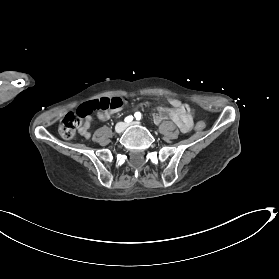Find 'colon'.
<instances>
[{
  "instance_id": "1",
  "label": "colon",
  "mask_w": 279,
  "mask_h": 279,
  "mask_svg": "<svg viewBox=\"0 0 279 279\" xmlns=\"http://www.w3.org/2000/svg\"><path fill=\"white\" fill-rule=\"evenodd\" d=\"M125 101L120 97L102 98L99 100H92L81 104L75 112H69L60 121L59 132L65 139H72L80 127L82 119L89 117L94 111L98 110H117L121 109ZM181 106L189 113L193 114L197 111L195 105L180 101ZM206 127L204 121H197L195 129L202 131Z\"/></svg>"
}]
</instances>
